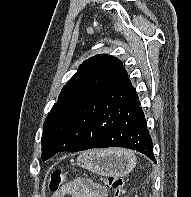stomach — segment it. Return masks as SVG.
<instances>
[{"instance_id": "1", "label": "stomach", "mask_w": 191, "mask_h": 197, "mask_svg": "<svg viewBox=\"0 0 191 197\" xmlns=\"http://www.w3.org/2000/svg\"><path fill=\"white\" fill-rule=\"evenodd\" d=\"M77 165L102 176L123 177L135 166V162L120 149L90 150L77 158Z\"/></svg>"}]
</instances>
